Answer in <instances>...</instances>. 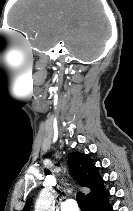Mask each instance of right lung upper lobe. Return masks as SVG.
Returning a JSON list of instances; mask_svg holds the SVG:
<instances>
[{
  "label": "right lung upper lobe",
  "instance_id": "cb5924a9",
  "mask_svg": "<svg viewBox=\"0 0 133 211\" xmlns=\"http://www.w3.org/2000/svg\"><path fill=\"white\" fill-rule=\"evenodd\" d=\"M69 168L76 182L90 189L87 195L88 204L104 200L109 192L104 187V180L100 177L97 167L87 154L78 152L69 155ZM31 200L28 199L23 211H30Z\"/></svg>",
  "mask_w": 133,
  "mask_h": 211
}]
</instances>
